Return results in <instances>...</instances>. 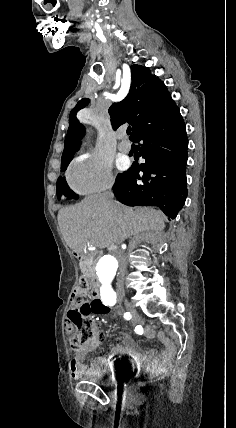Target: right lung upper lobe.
I'll return each mask as SVG.
<instances>
[{
  "instance_id": "obj_1",
  "label": "right lung upper lobe",
  "mask_w": 236,
  "mask_h": 428,
  "mask_svg": "<svg viewBox=\"0 0 236 428\" xmlns=\"http://www.w3.org/2000/svg\"><path fill=\"white\" fill-rule=\"evenodd\" d=\"M132 83L128 96L109 108L113 128L117 129L124 122L132 125V134L146 122L162 115L176 106L166 86L150 73L148 68L132 65ZM89 99L80 100L70 112L69 128L64 142L61 170L66 169L74 153L79 149L84 135V127L76 118V113L85 107Z\"/></svg>"
}]
</instances>
